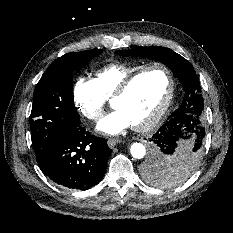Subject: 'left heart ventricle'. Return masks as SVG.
<instances>
[{"mask_svg": "<svg viewBox=\"0 0 233 233\" xmlns=\"http://www.w3.org/2000/svg\"><path fill=\"white\" fill-rule=\"evenodd\" d=\"M168 90V78L163 70L153 69L140 76L128 93L113 104L132 125L150 119L163 103Z\"/></svg>", "mask_w": 233, "mask_h": 233, "instance_id": "obj_1", "label": "left heart ventricle"}]
</instances>
